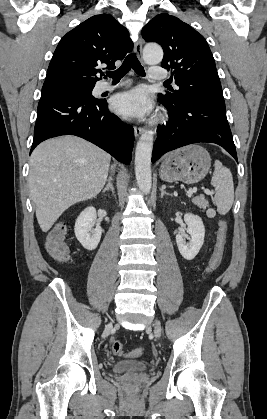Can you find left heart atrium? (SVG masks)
Returning a JSON list of instances; mask_svg holds the SVG:
<instances>
[{"instance_id":"obj_1","label":"left heart atrium","mask_w":267,"mask_h":419,"mask_svg":"<svg viewBox=\"0 0 267 419\" xmlns=\"http://www.w3.org/2000/svg\"><path fill=\"white\" fill-rule=\"evenodd\" d=\"M152 101L145 88H135L116 95L112 100L113 110L127 117L144 118L152 111Z\"/></svg>"}]
</instances>
